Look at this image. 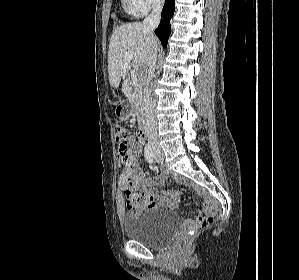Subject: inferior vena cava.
<instances>
[{
  "instance_id": "1",
  "label": "inferior vena cava",
  "mask_w": 299,
  "mask_h": 280,
  "mask_svg": "<svg viewBox=\"0 0 299 280\" xmlns=\"http://www.w3.org/2000/svg\"><path fill=\"white\" fill-rule=\"evenodd\" d=\"M164 5V0H155L152 12L149 16L144 19L143 27L144 32L147 33L148 42L150 45L149 57H148V71H147V84L151 81L155 65L157 61V41L154 35V30L160 23L161 11ZM145 130L148 136L149 143H158V124L155 114V105L152 101L150 92L146 89L145 93Z\"/></svg>"
}]
</instances>
